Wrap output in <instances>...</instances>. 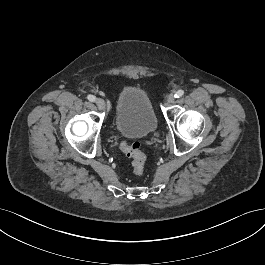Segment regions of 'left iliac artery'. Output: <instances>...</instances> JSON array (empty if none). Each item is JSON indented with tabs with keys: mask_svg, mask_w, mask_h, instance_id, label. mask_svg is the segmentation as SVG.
<instances>
[{
	"mask_svg": "<svg viewBox=\"0 0 265 265\" xmlns=\"http://www.w3.org/2000/svg\"><path fill=\"white\" fill-rule=\"evenodd\" d=\"M184 95V90H178L176 93H175V98H180Z\"/></svg>",
	"mask_w": 265,
	"mask_h": 265,
	"instance_id": "1",
	"label": "left iliac artery"
}]
</instances>
